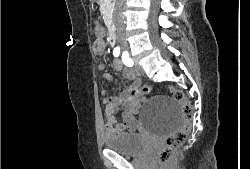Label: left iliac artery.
Wrapping results in <instances>:
<instances>
[{
    "label": "left iliac artery",
    "mask_w": 250,
    "mask_h": 169,
    "mask_svg": "<svg viewBox=\"0 0 250 169\" xmlns=\"http://www.w3.org/2000/svg\"><path fill=\"white\" fill-rule=\"evenodd\" d=\"M122 61L128 67H132L134 64L133 60L129 57V54L127 51L123 52Z\"/></svg>",
    "instance_id": "1"
}]
</instances>
